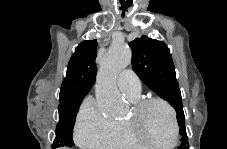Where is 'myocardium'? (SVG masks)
I'll return each instance as SVG.
<instances>
[{"instance_id": "f54148a6", "label": "myocardium", "mask_w": 227, "mask_h": 149, "mask_svg": "<svg viewBox=\"0 0 227 149\" xmlns=\"http://www.w3.org/2000/svg\"><path fill=\"white\" fill-rule=\"evenodd\" d=\"M152 104L163 105L164 107L167 108V110L171 115L172 122H173V138H172V141L168 144H159L149 140L141 130L140 125H141V118H142L143 112L147 107H149ZM125 120L131 134L138 141H140L144 146L161 148V147H173L177 144L178 136H179V123L177 119V114L174 107L164 99L152 97V98H144V99L138 100L137 102L133 103L132 112L130 116Z\"/></svg>"}]
</instances>
